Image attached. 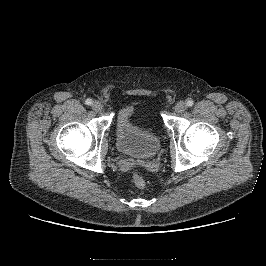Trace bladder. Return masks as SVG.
I'll return each instance as SVG.
<instances>
[{
    "mask_svg": "<svg viewBox=\"0 0 266 266\" xmlns=\"http://www.w3.org/2000/svg\"><path fill=\"white\" fill-rule=\"evenodd\" d=\"M134 109L123 108L119 111L116 123L117 150L127 156L149 159L160 150L159 136L133 120Z\"/></svg>",
    "mask_w": 266,
    "mask_h": 266,
    "instance_id": "1",
    "label": "bladder"
}]
</instances>
